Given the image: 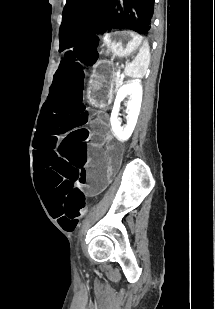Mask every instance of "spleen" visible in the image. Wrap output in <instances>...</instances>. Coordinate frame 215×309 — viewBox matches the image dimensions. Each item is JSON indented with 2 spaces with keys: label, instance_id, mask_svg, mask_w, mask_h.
I'll list each match as a JSON object with an SVG mask.
<instances>
[{
  "label": "spleen",
  "instance_id": "spleen-1",
  "mask_svg": "<svg viewBox=\"0 0 215 309\" xmlns=\"http://www.w3.org/2000/svg\"><path fill=\"white\" fill-rule=\"evenodd\" d=\"M150 62V52L147 40H144L137 56L125 66V74L132 78H143Z\"/></svg>",
  "mask_w": 215,
  "mask_h": 309
}]
</instances>
